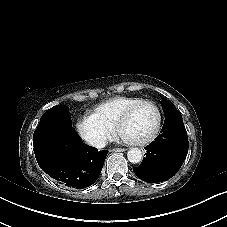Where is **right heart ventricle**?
I'll list each match as a JSON object with an SVG mask.
<instances>
[{
    "label": "right heart ventricle",
    "mask_w": 227,
    "mask_h": 227,
    "mask_svg": "<svg viewBox=\"0 0 227 227\" xmlns=\"http://www.w3.org/2000/svg\"><path fill=\"white\" fill-rule=\"evenodd\" d=\"M140 101L139 98L116 97L99 105L91 115V121L98 125L115 126L126 112Z\"/></svg>",
    "instance_id": "1"
}]
</instances>
